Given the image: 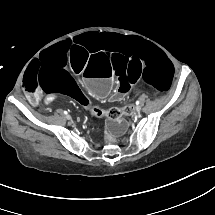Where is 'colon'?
Here are the masks:
<instances>
[{
    "label": "colon",
    "mask_w": 215,
    "mask_h": 215,
    "mask_svg": "<svg viewBox=\"0 0 215 215\" xmlns=\"http://www.w3.org/2000/svg\"><path fill=\"white\" fill-rule=\"evenodd\" d=\"M88 112L93 117H98L105 114L107 117L111 119H118L120 116L128 114L130 112V109L127 107L125 109L111 107L108 110L104 111L96 105H90L88 107Z\"/></svg>",
    "instance_id": "colon-1"
}]
</instances>
